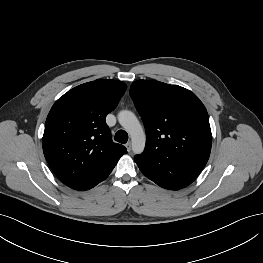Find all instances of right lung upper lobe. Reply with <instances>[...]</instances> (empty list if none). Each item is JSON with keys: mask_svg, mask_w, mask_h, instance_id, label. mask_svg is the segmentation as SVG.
Instances as JSON below:
<instances>
[{"mask_svg": "<svg viewBox=\"0 0 263 263\" xmlns=\"http://www.w3.org/2000/svg\"><path fill=\"white\" fill-rule=\"evenodd\" d=\"M127 85L99 79L79 85L52 106L42 139L44 156L55 175L68 187L82 189L110 174L127 153L112 142L105 122Z\"/></svg>", "mask_w": 263, "mask_h": 263, "instance_id": "1", "label": "right lung upper lobe"}]
</instances>
